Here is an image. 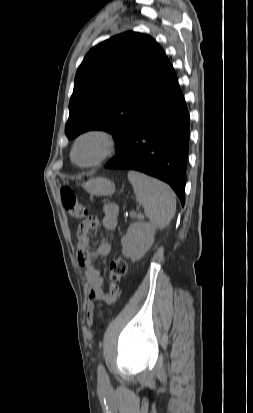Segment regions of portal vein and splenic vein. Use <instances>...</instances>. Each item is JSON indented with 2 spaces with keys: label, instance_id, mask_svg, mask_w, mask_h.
<instances>
[{
  "label": "portal vein and splenic vein",
  "instance_id": "18ae733b",
  "mask_svg": "<svg viewBox=\"0 0 253 413\" xmlns=\"http://www.w3.org/2000/svg\"><path fill=\"white\" fill-rule=\"evenodd\" d=\"M131 214H132V215H134V216L136 215V213H135V212H132Z\"/></svg>",
  "mask_w": 253,
  "mask_h": 413
}]
</instances>
